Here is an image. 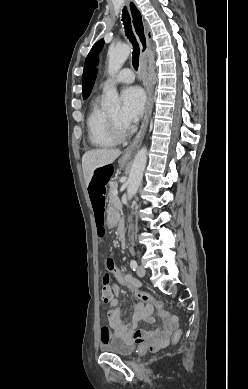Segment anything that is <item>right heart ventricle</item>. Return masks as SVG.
Wrapping results in <instances>:
<instances>
[{
    "label": "right heart ventricle",
    "instance_id": "right-heart-ventricle-1",
    "mask_svg": "<svg viewBox=\"0 0 248 389\" xmlns=\"http://www.w3.org/2000/svg\"><path fill=\"white\" fill-rule=\"evenodd\" d=\"M86 129L89 142L93 146L107 148L116 144V140L109 131L108 113L101 108L98 98L91 103L86 119Z\"/></svg>",
    "mask_w": 248,
    "mask_h": 389
}]
</instances>
